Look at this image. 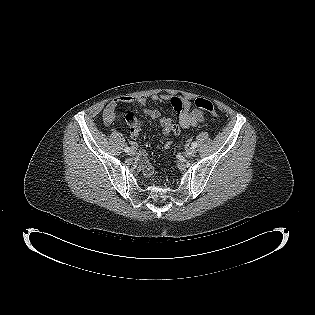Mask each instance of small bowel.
I'll use <instances>...</instances> for the list:
<instances>
[{"mask_svg":"<svg viewBox=\"0 0 315 315\" xmlns=\"http://www.w3.org/2000/svg\"><path fill=\"white\" fill-rule=\"evenodd\" d=\"M149 99L154 102H169L174 110L176 121L169 117L161 116L156 109L147 108L146 103ZM121 102L136 103L147 117L152 120H159L164 135H178L182 129L196 126L204 120L203 110L197 107L192 108L191 102L187 98L173 94H153L150 97L123 96L111 101L103 113L105 123L111 124L114 121L116 108ZM139 131L140 123L132 128L131 136L136 137ZM170 145V142H166L164 148L167 149ZM137 161L143 168L144 175L150 177L153 174V167L146 155L142 152L138 153Z\"/></svg>","mask_w":315,"mask_h":315,"instance_id":"1","label":"small bowel"}]
</instances>
